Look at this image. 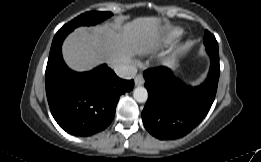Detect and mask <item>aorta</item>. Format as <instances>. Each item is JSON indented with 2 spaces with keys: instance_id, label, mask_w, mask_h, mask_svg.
<instances>
[{
  "instance_id": "obj_1",
  "label": "aorta",
  "mask_w": 261,
  "mask_h": 162,
  "mask_svg": "<svg viewBox=\"0 0 261 162\" xmlns=\"http://www.w3.org/2000/svg\"><path fill=\"white\" fill-rule=\"evenodd\" d=\"M134 99L139 103H144L148 99V92L144 87H136L133 91Z\"/></svg>"
}]
</instances>
